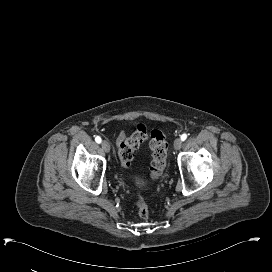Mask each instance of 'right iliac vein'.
<instances>
[{
  "label": "right iliac vein",
  "instance_id": "right-iliac-vein-1",
  "mask_svg": "<svg viewBox=\"0 0 272 272\" xmlns=\"http://www.w3.org/2000/svg\"><path fill=\"white\" fill-rule=\"evenodd\" d=\"M101 147L107 153L110 151V144L106 140L102 141Z\"/></svg>",
  "mask_w": 272,
  "mask_h": 272
}]
</instances>
